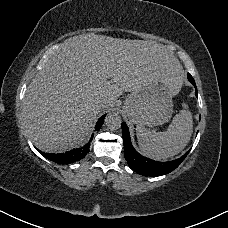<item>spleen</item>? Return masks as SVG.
I'll return each instance as SVG.
<instances>
[{
  "label": "spleen",
  "mask_w": 228,
  "mask_h": 228,
  "mask_svg": "<svg viewBox=\"0 0 228 228\" xmlns=\"http://www.w3.org/2000/svg\"><path fill=\"white\" fill-rule=\"evenodd\" d=\"M182 107L164 132L151 131L144 124H137L136 135L143 155L158 161L166 160L186 147L193 133V118L188 105L182 103Z\"/></svg>",
  "instance_id": "1"
}]
</instances>
